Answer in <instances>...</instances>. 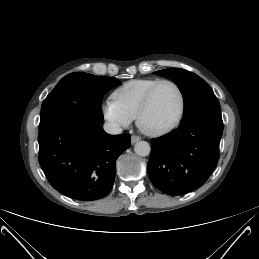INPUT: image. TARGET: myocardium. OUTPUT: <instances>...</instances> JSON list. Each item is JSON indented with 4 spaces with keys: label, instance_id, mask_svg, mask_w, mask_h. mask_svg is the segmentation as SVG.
I'll return each mask as SVG.
<instances>
[{
    "label": "myocardium",
    "instance_id": "obj_1",
    "mask_svg": "<svg viewBox=\"0 0 259 259\" xmlns=\"http://www.w3.org/2000/svg\"><path fill=\"white\" fill-rule=\"evenodd\" d=\"M164 83L171 84L177 90V92L179 94V98H180L179 112H178L176 118L167 126L162 127L160 129H149L144 126L143 118L151 105L152 98H153V95H154L156 89L161 84H164ZM185 107H186V100H185V95H184V92H183L181 86L172 79H160L154 85H152L150 87V89L147 91L146 95L144 96V99L142 101V104H141V106L138 110L137 116H136V124H137L138 128L146 135L153 136V137L162 136L164 134L171 132L173 129H175L180 124L181 120L183 119L184 113H185Z\"/></svg>",
    "mask_w": 259,
    "mask_h": 259
}]
</instances>
